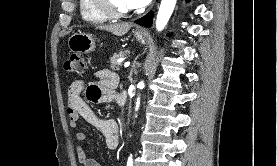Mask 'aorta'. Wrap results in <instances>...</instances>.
Returning a JSON list of instances; mask_svg holds the SVG:
<instances>
[{"label":"aorta","instance_id":"1","mask_svg":"<svg viewBox=\"0 0 277 166\" xmlns=\"http://www.w3.org/2000/svg\"><path fill=\"white\" fill-rule=\"evenodd\" d=\"M176 4V0H162L160 4V8L157 14V19H156V29L158 31H162L164 27L167 25L171 14L174 10ZM138 87L142 89L144 87V83L140 82L138 84ZM140 105V98L137 99L136 102V110L139 108Z\"/></svg>","mask_w":277,"mask_h":166}]
</instances>
